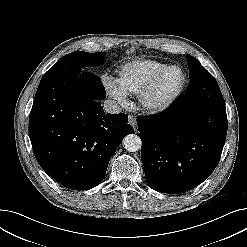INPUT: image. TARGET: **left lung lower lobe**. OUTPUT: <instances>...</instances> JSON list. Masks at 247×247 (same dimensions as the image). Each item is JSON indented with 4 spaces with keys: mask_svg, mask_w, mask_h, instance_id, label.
Wrapping results in <instances>:
<instances>
[{
    "mask_svg": "<svg viewBox=\"0 0 247 247\" xmlns=\"http://www.w3.org/2000/svg\"><path fill=\"white\" fill-rule=\"evenodd\" d=\"M189 84L168 109L137 119L146 182L162 193L181 194L206 180L226 139L225 102L215 78L205 74Z\"/></svg>",
    "mask_w": 247,
    "mask_h": 247,
    "instance_id": "1",
    "label": "left lung lower lobe"
}]
</instances>
